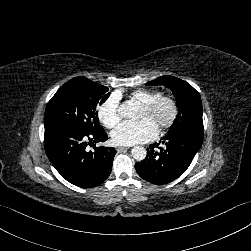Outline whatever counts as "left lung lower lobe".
Listing matches in <instances>:
<instances>
[{
    "label": "left lung lower lobe",
    "mask_w": 251,
    "mask_h": 251,
    "mask_svg": "<svg viewBox=\"0 0 251 251\" xmlns=\"http://www.w3.org/2000/svg\"><path fill=\"white\" fill-rule=\"evenodd\" d=\"M203 142V134L176 132L165 135L164 147L150 145L146 158L135 164V169L144 180L162 185L181 176L191 164Z\"/></svg>",
    "instance_id": "0a47b994"
}]
</instances>
